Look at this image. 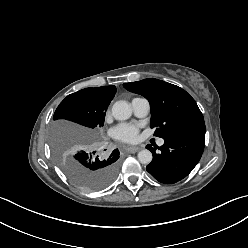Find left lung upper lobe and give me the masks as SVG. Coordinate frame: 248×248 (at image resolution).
<instances>
[{"label": "left lung upper lobe", "instance_id": "left-lung-upper-lobe-1", "mask_svg": "<svg viewBox=\"0 0 248 248\" xmlns=\"http://www.w3.org/2000/svg\"><path fill=\"white\" fill-rule=\"evenodd\" d=\"M124 87L144 96L151 107V128L155 136L167 139L179 130L204 123L194 99L182 88L162 80L147 78L125 83Z\"/></svg>", "mask_w": 248, "mask_h": 248}]
</instances>
